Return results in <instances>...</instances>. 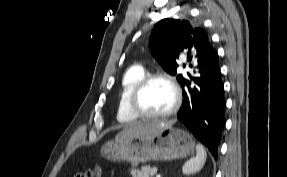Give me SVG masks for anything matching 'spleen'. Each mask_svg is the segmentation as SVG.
Returning <instances> with one entry per match:
<instances>
[{
    "label": "spleen",
    "mask_w": 287,
    "mask_h": 177,
    "mask_svg": "<svg viewBox=\"0 0 287 177\" xmlns=\"http://www.w3.org/2000/svg\"><path fill=\"white\" fill-rule=\"evenodd\" d=\"M206 158L207 154L204 147L201 144H197L196 157L191 158L184 164L182 167L183 174H193L200 171L206 162Z\"/></svg>",
    "instance_id": "spleen-1"
}]
</instances>
